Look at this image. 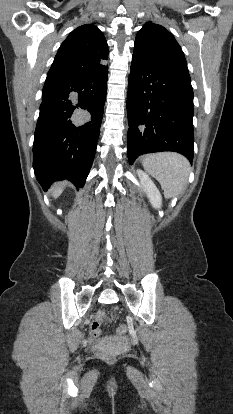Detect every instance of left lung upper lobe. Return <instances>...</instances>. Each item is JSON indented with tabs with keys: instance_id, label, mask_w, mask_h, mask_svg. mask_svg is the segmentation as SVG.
<instances>
[{
	"instance_id": "obj_1",
	"label": "left lung upper lobe",
	"mask_w": 233,
	"mask_h": 414,
	"mask_svg": "<svg viewBox=\"0 0 233 414\" xmlns=\"http://www.w3.org/2000/svg\"><path fill=\"white\" fill-rule=\"evenodd\" d=\"M133 57L161 69L189 74L180 45L170 32L158 24L146 23L139 30Z\"/></svg>"
}]
</instances>
